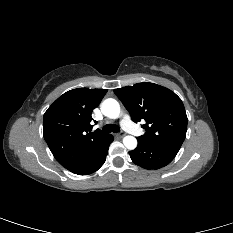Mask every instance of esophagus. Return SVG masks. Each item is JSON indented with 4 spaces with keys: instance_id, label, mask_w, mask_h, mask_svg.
Listing matches in <instances>:
<instances>
[{
    "instance_id": "1",
    "label": "esophagus",
    "mask_w": 233,
    "mask_h": 233,
    "mask_svg": "<svg viewBox=\"0 0 233 233\" xmlns=\"http://www.w3.org/2000/svg\"><path fill=\"white\" fill-rule=\"evenodd\" d=\"M118 137H120V138H122L124 135H125V133L124 132H120V133H118V134H116Z\"/></svg>"
}]
</instances>
